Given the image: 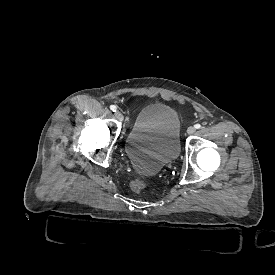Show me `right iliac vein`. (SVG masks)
I'll list each match as a JSON object with an SVG mask.
<instances>
[{
  "label": "right iliac vein",
  "mask_w": 275,
  "mask_h": 275,
  "mask_svg": "<svg viewBox=\"0 0 275 275\" xmlns=\"http://www.w3.org/2000/svg\"><path fill=\"white\" fill-rule=\"evenodd\" d=\"M115 116L118 120L123 121V115L120 112H116Z\"/></svg>",
  "instance_id": "obj_1"
}]
</instances>
